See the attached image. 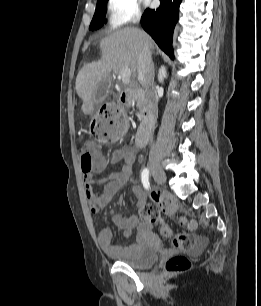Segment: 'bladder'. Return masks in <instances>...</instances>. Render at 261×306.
Instances as JSON below:
<instances>
[{
    "label": "bladder",
    "instance_id": "31cf9c89",
    "mask_svg": "<svg viewBox=\"0 0 261 306\" xmlns=\"http://www.w3.org/2000/svg\"><path fill=\"white\" fill-rule=\"evenodd\" d=\"M160 254L159 244L150 238H141L133 244V251L118 262L136 269H144L154 265Z\"/></svg>",
    "mask_w": 261,
    "mask_h": 306
}]
</instances>
